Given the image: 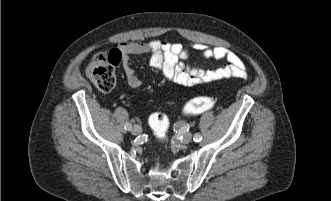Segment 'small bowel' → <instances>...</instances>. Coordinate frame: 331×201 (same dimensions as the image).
<instances>
[{
	"mask_svg": "<svg viewBox=\"0 0 331 201\" xmlns=\"http://www.w3.org/2000/svg\"><path fill=\"white\" fill-rule=\"evenodd\" d=\"M191 49L200 53L203 58L222 60L227 62L224 66L211 69L201 68L185 61L190 56V49L180 43H170L164 40H151L149 42H124L118 47V54L126 81L131 88H138L142 80L131 67V55L150 54L149 65L160 71L165 79L179 85L192 87L227 78H247V71L243 61L231 50L223 46L210 47L206 44H193Z\"/></svg>",
	"mask_w": 331,
	"mask_h": 201,
	"instance_id": "1",
	"label": "small bowel"
}]
</instances>
